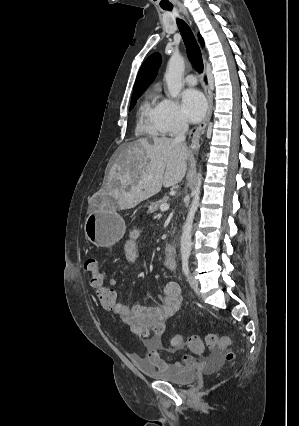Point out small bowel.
Wrapping results in <instances>:
<instances>
[{
	"instance_id": "small-bowel-1",
	"label": "small bowel",
	"mask_w": 299,
	"mask_h": 426,
	"mask_svg": "<svg viewBox=\"0 0 299 426\" xmlns=\"http://www.w3.org/2000/svg\"><path fill=\"white\" fill-rule=\"evenodd\" d=\"M139 232L134 231L130 239L125 244V254L128 261L133 262L137 258L136 239ZM163 265L172 271L175 269V260L164 258ZM107 283L115 287L118 280L115 277L107 278ZM160 303L157 306H129L119 300L117 305L111 310L128 325L131 332L138 334L147 351V360L157 368L170 365L169 360L163 356L164 345L162 337L165 333V323L173 316L182 305V295L179 285L175 282H168L162 294L159 295ZM170 351H173L172 349ZM137 359V357H135ZM196 364V358L192 355H184L176 365L192 367Z\"/></svg>"
}]
</instances>
